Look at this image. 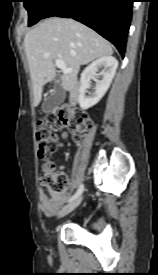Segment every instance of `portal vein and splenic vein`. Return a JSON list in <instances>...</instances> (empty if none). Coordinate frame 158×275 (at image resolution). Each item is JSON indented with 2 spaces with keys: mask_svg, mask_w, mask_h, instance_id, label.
<instances>
[{
  "mask_svg": "<svg viewBox=\"0 0 158 275\" xmlns=\"http://www.w3.org/2000/svg\"><path fill=\"white\" fill-rule=\"evenodd\" d=\"M55 65H56V67H58L59 69H61L64 73L72 71V69L66 67L64 61L61 60V59H57L55 61Z\"/></svg>",
  "mask_w": 158,
  "mask_h": 275,
  "instance_id": "obj_1",
  "label": "portal vein and splenic vein"
}]
</instances>
